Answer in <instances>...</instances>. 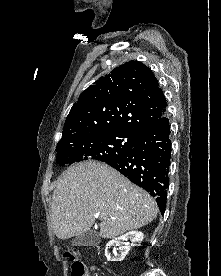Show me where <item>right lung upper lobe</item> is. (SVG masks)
I'll return each instance as SVG.
<instances>
[{
	"label": "right lung upper lobe",
	"mask_w": 221,
	"mask_h": 276,
	"mask_svg": "<svg viewBox=\"0 0 221 276\" xmlns=\"http://www.w3.org/2000/svg\"><path fill=\"white\" fill-rule=\"evenodd\" d=\"M166 107L152 71L141 62H126L80 94L59 143L107 132L136 136L165 116Z\"/></svg>",
	"instance_id": "right-lung-upper-lobe-1"
}]
</instances>
